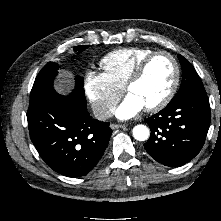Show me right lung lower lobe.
I'll return each instance as SVG.
<instances>
[{"instance_id": "98d812e1", "label": "right lung lower lobe", "mask_w": 221, "mask_h": 221, "mask_svg": "<svg viewBox=\"0 0 221 221\" xmlns=\"http://www.w3.org/2000/svg\"><path fill=\"white\" fill-rule=\"evenodd\" d=\"M27 120L30 138L44 162L69 177L87 174L100 160L112 130L108 122L93 119L85 96H68L54 89L30 99Z\"/></svg>"}]
</instances>
